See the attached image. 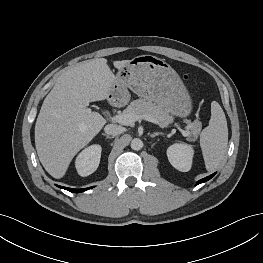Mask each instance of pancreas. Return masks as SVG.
I'll return each instance as SVG.
<instances>
[{
    "instance_id": "1",
    "label": "pancreas",
    "mask_w": 263,
    "mask_h": 263,
    "mask_svg": "<svg viewBox=\"0 0 263 263\" xmlns=\"http://www.w3.org/2000/svg\"><path fill=\"white\" fill-rule=\"evenodd\" d=\"M123 114H132L135 116L149 114L153 116L158 122L159 126L164 128L173 121V117L161 106L145 99H137L130 103V105L123 111ZM202 125L196 120L193 123L188 122L187 129L190 132L189 138L191 140L197 139L200 134Z\"/></svg>"
}]
</instances>
